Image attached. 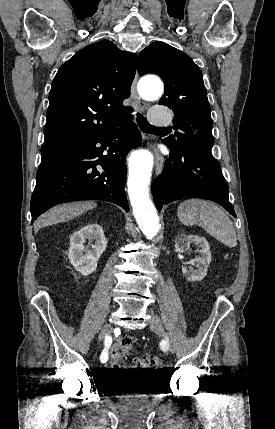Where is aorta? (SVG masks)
Masks as SVG:
<instances>
[{"label":"aorta","instance_id":"aorta-1","mask_svg":"<svg viewBox=\"0 0 275 429\" xmlns=\"http://www.w3.org/2000/svg\"><path fill=\"white\" fill-rule=\"evenodd\" d=\"M163 93L162 82L147 77L140 83V94L145 100H156ZM153 156L145 150L135 152L129 163L128 194L139 228L148 239L157 235L160 225L156 208L149 197Z\"/></svg>","mask_w":275,"mask_h":429}]
</instances>
